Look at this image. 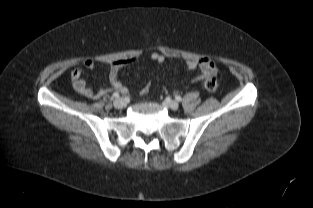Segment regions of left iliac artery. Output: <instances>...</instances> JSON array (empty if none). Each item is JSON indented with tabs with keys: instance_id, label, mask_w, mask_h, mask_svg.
I'll return each mask as SVG.
<instances>
[{
	"instance_id": "1",
	"label": "left iliac artery",
	"mask_w": 313,
	"mask_h": 208,
	"mask_svg": "<svg viewBox=\"0 0 313 208\" xmlns=\"http://www.w3.org/2000/svg\"><path fill=\"white\" fill-rule=\"evenodd\" d=\"M175 99H176L178 102L182 101V98H181L180 96H176Z\"/></svg>"
}]
</instances>
